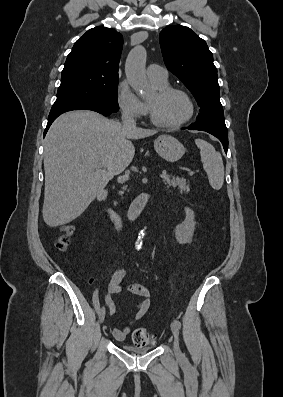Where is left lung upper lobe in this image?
I'll return each mask as SVG.
<instances>
[{"mask_svg": "<svg viewBox=\"0 0 283 397\" xmlns=\"http://www.w3.org/2000/svg\"><path fill=\"white\" fill-rule=\"evenodd\" d=\"M159 42L167 69L192 92L200 107L197 121L225 125L217 68L206 42L181 25L164 28Z\"/></svg>", "mask_w": 283, "mask_h": 397, "instance_id": "left-lung-upper-lobe-1", "label": "left lung upper lobe"}]
</instances>
